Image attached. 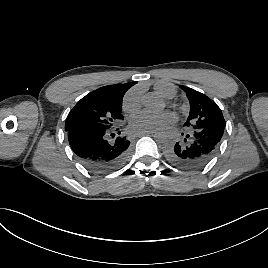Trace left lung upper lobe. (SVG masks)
<instances>
[{
    "label": "left lung upper lobe",
    "mask_w": 268,
    "mask_h": 268,
    "mask_svg": "<svg viewBox=\"0 0 268 268\" xmlns=\"http://www.w3.org/2000/svg\"><path fill=\"white\" fill-rule=\"evenodd\" d=\"M190 102V113L184 126L191 132L206 128L225 127L226 123L221 109L206 95L186 86H181Z\"/></svg>",
    "instance_id": "1"
}]
</instances>
